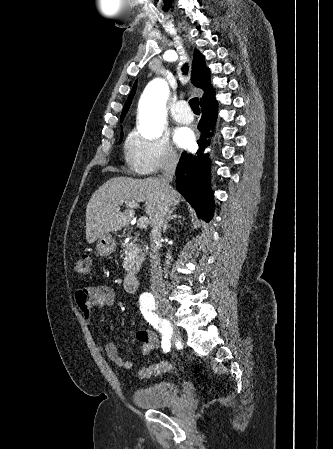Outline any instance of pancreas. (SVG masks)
<instances>
[{"label": "pancreas", "instance_id": "pancreas-1", "mask_svg": "<svg viewBox=\"0 0 333 449\" xmlns=\"http://www.w3.org/2000/svg\"><path fill=\"white\" fill-rule=\"evenodd\" d=\"M122 247L125 251V261L123 267L125 270L131 269L135 264L142 262L143 257L140 256V250L134 243L125 244L122 243Z\"/></svg>", "mask_w": 333, "mask_h": 449}]
</instances>
